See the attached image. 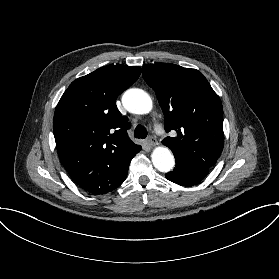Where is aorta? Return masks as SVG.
<instances>
[{"instance_id":"obj_1","label":"aorta","mask_w":279,"mask_h":279,"mask_svg":"<svg viewBox=\"0 0 279 279\" xmlns=\"http://www.w3.org/2000/svg\"><path fill=\"white\" fill-rule=\"evenodd\" d=\"M125 109L134 114H147L152 109L151 97L138 88L126 90L122 96ZM154 167L160 172L167 173L175 165L172 152L167 147H156L151 155Z\"/></svg>"}]
</instances>
